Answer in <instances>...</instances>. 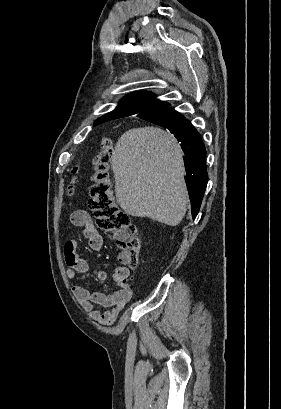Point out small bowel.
Listing matches in <instances>:
<instances>
[{"label": "small bowel", "instance_id": "c3829d8e", "mask_svg": "<svg viewBox=\"0 0 281 409\" xmlns=\"http://www.w3.org/2000/svg\"><path fill=\"white\" fill-rule=\"evenodd\" d=\"M71 223L83 229V235L93 251L98 252L101 250L102 236L85 210H75L71 215ZM76 248L77 242L75 240L67 241L64 248L68 276L71 278L75 273H85L89 269L87 261L78 257ZM130 276L131 269L124 265L116 266L112 273H108L106 270H98L96 272L98 281L105 282L110 279L119 289L112 294H106L77 285L73 287V293L81 307L89 313L92 319L104 325H111L116 321L132 297V287L128 282ZM96 306L105 310L101 311Z\"/></svg>", "mask_w": 281, "mask_h": 409}]
</instances>
